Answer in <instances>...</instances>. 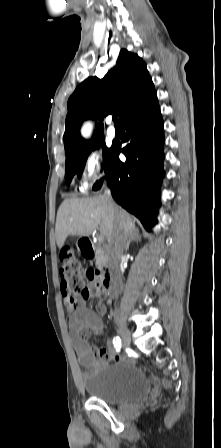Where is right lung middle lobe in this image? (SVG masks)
Segmentation results:
<instances>
[{
    "instance_id": "dd1d6c3e",
    "label": "right lung middle lobe",
    "mask_w": 221,
    "mask_h": 448,
    "mask_svg": "<svg viewBox=\"0 0 221 448\" xmlns=\"http://www.w3.org/2000/svg\"><path fill=\"white\" fill-rule=\"evenodd\" d=\"M100 143H101V146L103 149V160H104V168H105L108 158L110 156V153L112 151V147L107 148L106 145L104 144L103 139L99 138V139H96L93 142H91L80 153L66 158L65 179H66V183L68 185L70 184V182L75 174L80 175L83 172L88 155L91 153L92 150L99 148Z\"/></svg>"
}]
</instances>
